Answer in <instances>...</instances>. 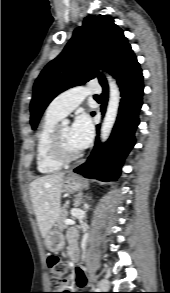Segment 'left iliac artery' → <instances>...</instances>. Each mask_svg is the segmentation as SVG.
Segmentation results:
<instances>
[{
    "label": "left iliac artery",
    "mask_w": 170,
    "mask_h": 293,
    "mask_svg": "<svg viewBox=\"0 0 170 293\" xmlns=\"http://www.w3.org/2000/svg\"><path fill=\"white\" fill-rule=\"evenodd\" d=\"M99 289L103 290V288L100 286V284H99Z\"/></svg>",
    "instance_id": "left-iliac-artery-1"
}]
</instances>
